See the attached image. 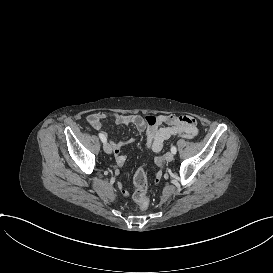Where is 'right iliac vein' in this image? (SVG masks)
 Listing matches in <instances>:
<instances>
[{
    "instance_id": "1",
    "label": "right iliac vein",
    "mask_w": 273,
    "mask_h": 273,
    "mask_svg": "<svg viewBox=\"0 0 273 273\" xmlns=\"http://www.w3.org/2000/svg\"><path fill=\"white\" fill-rule=\"evenodd\" d=\"M103 149L107 154L112 153V147H111V144H109V143H104L103 144Z\"/></svg>"
}]
</instances>
